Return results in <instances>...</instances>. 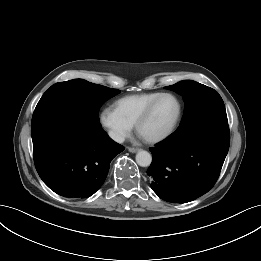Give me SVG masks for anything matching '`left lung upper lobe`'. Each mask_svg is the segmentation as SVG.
<instances>
[{"mask_svg": "<svg viewBox=\"0 0 261 261\" xmlns=\"http://www.w3.org/2000/svg\"><path fill=\"white\" fill-rule=\"evenodd\" d=\"M166 88L183 96L185 102L184 115L177 131L190 129L214 118L227 117L221 96L210 87L184 80Z\"/></svg>", "mask_w": 261, "mask_h": 261, "instance_id": "1", "label": "left lung upper lobe"}]
</instances>
